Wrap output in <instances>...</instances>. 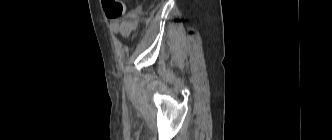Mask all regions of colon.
Returning <instances> with one entry per match:
<instances>
[{"label": "colon", "mask_w": 332, "mask_h": 140, "mask_svg": "<svg viewBox=\"0 0 332 140\" xmlns=\"http://www.w3.org/2000/svg\"><path fill=\"white\" fill-rule=\"evenodd\" d=\"M102 6L110 20H118L125 13V4L122 0H102Z\"/></svg>", "instance_id": "obj_1"}]
</instances>
